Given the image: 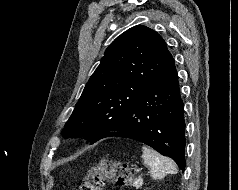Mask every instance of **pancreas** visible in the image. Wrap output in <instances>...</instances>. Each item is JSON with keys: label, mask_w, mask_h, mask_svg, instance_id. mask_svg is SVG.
Returning a JSON list of instances; mask_svg holds the SVG:
<instances>
[{"label": "pancreas", "mask_w": 238, "mask_h": 190, "mask_svg": "<svg viewBox=\"0 0 238 190\" xmlns=\"http://www.w3.org/2000/svg\"><path fill=\"white\" fill-rule=\"evenodd\" d=\"M143 183V179L141 177H138L137 179H135L133 186L136 188H140L142 186Z\"/></svg>", "instance_id": "obj_1"}]
</instances>
